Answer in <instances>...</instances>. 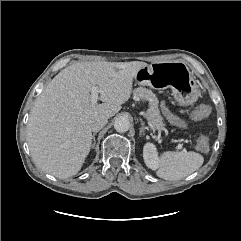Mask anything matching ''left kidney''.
I'll return each instance as SVG.
<instances>
[{"label": "left kidney", "mask_w": 241, "mask_h": 241, "mask_svg": "<svg viewBox=\"0 0 241 241\" xmlns=\"http://www.w3.org/2000/svg\"><path fill=\"white\" fill-rule=\"evenodd\" d=\"M144 162L152 170H156L159 166V158L156 146L152 143H147L143 148Z\"/></svg>", "instance_id": "obj_1"}]
</instances>
